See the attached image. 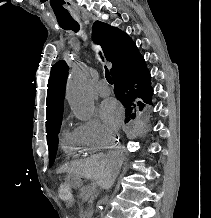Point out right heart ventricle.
<instances>
[{
  "instance_id": "e07e8e85",
  "label": "right heart ventricle",
  "mask_w": 211,
  "mask_h": 218,
  "mask_svg": "<svg viewBox=\"0 0 211 218\" xmlns=\"http://www.w3.org/2000/svg\"><path fill=\"white\" fill-rule=\"evenodd\" d=\"M61 145L65 151L64 157L78 156L84 153H92L97 150V148L82 143L75 133L70 131H63Z\"/></svg>"
}]
</instances>
